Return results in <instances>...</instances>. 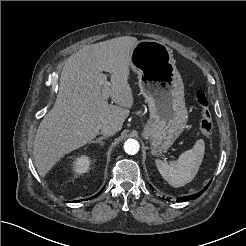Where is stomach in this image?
<instances>
[{"instance_id":"stomach-1","label":"stomach","mask_w":246,"mask_h":246,"mask_svg":"<svg viewBox=\"0 0 246 246\" xmlns=\"http://www.w3.org/2000/svg\"><path fill=\"white\" fill-rule=\"evenodd\" d=\"M130 67L138 75L150 111L142 136L153 154L161 153L171 147L188 121L184 84L172 50L159 41L141 40L133 48Z\"/></svg>"}]
</instances>
